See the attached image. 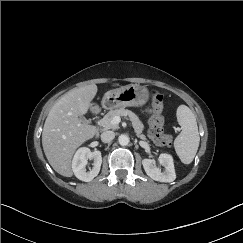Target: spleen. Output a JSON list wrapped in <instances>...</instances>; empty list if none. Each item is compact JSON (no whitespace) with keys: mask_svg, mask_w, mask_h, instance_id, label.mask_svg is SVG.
Listing matches in <instances>:
<instances>
[{"mask_svg":"<svg viewBox=\"0 0 243 243\" xmlns=\"http://www.w3.org/2000/svg\"><path fill=\"white\" fill-rule=\"evenodd\" d=\"M177 120L181 133L174 140V148L184 164H190L199 147L200 137L194 113L186 106L177 108Z\"/></svg>","mask_w":243,"mask_h":243,"instance_id":"obj_1","label":"spleen"}]
</instances>
